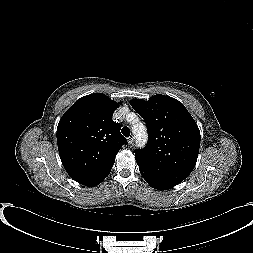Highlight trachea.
<instances>
[{"label": "trachea", "instance_id": "trachea-1", "mask_svg": "<svg viewBox=\"0 0 253 253\" xmlns=\"http://www.w3.org/2000/svg\"><path fill=\"white\" fill-rule=\"evenodd\" d=\"M122 134L125 136V137H129L130 136V129L128 127H123L122 130H121Z\"/></svg>", "mask_w": 253, "mask_h": 253}]
</instances>
